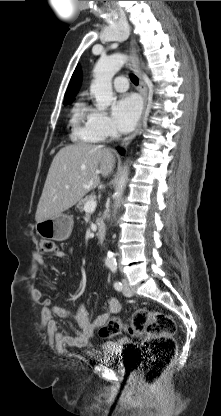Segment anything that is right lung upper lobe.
Returning <instances> with one entry per match:
<instances>
[{
    "label": "right lung upper lobe",
    "mask_w": 221,
    "mask_h": 416,
    "mask_svg": "<svg viewBox=\"0 0 221 416\" xmlns=\"http://www.w3.org/2000/svg\"><path fill=\"white\" fill-rule=\"evenodd\" d=\"M81 78H82V74H81L80 68L77 67L75 69L73 75H72L70 84H69L68 89L66 91L64 102L65 101H70V102L73 101L74 96L77 94V92L80 88Z\"/></svg>",
    "instance_id": "right-lung-upper-lobe-1"
}]
</instances>
